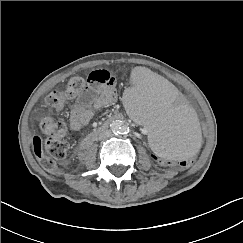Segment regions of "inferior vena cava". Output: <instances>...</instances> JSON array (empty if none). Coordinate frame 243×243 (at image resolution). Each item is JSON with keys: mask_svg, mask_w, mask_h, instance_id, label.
<instances>
[{"mask_svg": "<svg viewBox=\"0 0 243 243\" xmlns=\"http://www.w3.org/2000/svg\"><path fill=\"white\" fill-rule=\"evenodd\" d=\"M111 134L112 132L110 130H104L99 134L98 139L99 140L108 139L111 136Z\"/></svg>", "mask_w": 243, "mask_h": 243, "instance_id": "inferior-vena-cava-1", "label": "inferior vena cava"}]
</instances>
